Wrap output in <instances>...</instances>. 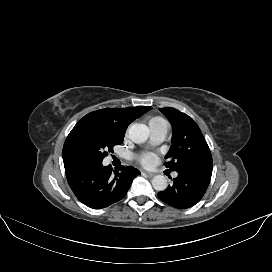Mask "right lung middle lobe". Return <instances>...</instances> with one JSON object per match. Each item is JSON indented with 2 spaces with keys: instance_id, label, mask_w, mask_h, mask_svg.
<instances>
[{
  "instance_id": "obj_1",
  "label": "right lung middle lobe",
  "mask_w": 272,
  "mask_h": 272,
  "mask_svg": "<svg viewBox=\"0 0 272 272\" xmlns=\"http://www.w3.org/2000/svg\"><path fill=\"white\" fill-rule=\"evenodd\" d=\"M124 134L91 118L83 117L69 133L63 147V160L71 163L101 164Z\"/></svg>"
}]
</instances>
